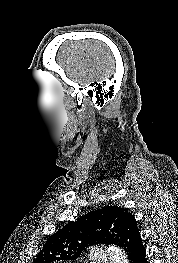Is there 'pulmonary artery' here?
<instances>
[{"label": "pulmonary artery", "mask_w": 178, "mask_h": 263, "mask_svg": "<svg viewBox=\"0 0 178 263\" xmlns=\"http://www.w3.org/2000/svg\"><path fill=\"white\" fill-rule=\"evenodd\" d=\"M89 256L93 263L106 262L108 259L107 254L101 248L92 249Z\"/></svg>", "instance_id": "1"}]
</instances>
